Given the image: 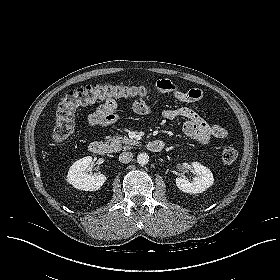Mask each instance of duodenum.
<instances>
[{
  "mask_svg": "<svg viewBox=\"0 0 280 280\" xmlns=\"http://www.w3.org/2000/svg\"><path fill=\"white\" fill-rule=\"evenodd\" d=\"M90 151L95 155H106L110 153V147L107 143L95 140L90 143ZM164 143L161 140H151L147 143V149L152 153H160L163 151Z\"/></svg>",
  "mask_w": 280,
  "mask_h": 280,
  "instance_id": "duodenum-1",
  "label": "duodenum"
}]
</instances>
